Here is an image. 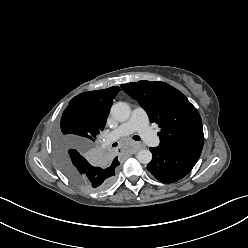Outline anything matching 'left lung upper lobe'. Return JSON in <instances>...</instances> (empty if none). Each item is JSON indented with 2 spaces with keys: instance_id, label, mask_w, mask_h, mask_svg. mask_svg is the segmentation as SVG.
Segmentation results:
<instances>
[{
  "instance_id": "left-lung-upper-lobe-1",
  "label": "left lung upper lobe",
  "mask_w": 248,
  "mask_h": 248,
  "mask_svg": "<svg viewBox=\"0 0 248 248\" xmlns=\"http://www.w3.org/2000/svg\"><path fill=\"white\" fill-rule=\"evenodd\" d=\"M121 87L139 102L151 122L159 124V146L204 142L202 120L197 109L176 88L161 81L145 80Z\"/></svg>"
}]
</instances>
